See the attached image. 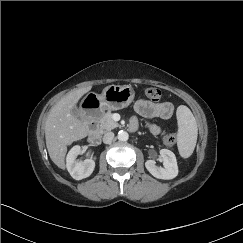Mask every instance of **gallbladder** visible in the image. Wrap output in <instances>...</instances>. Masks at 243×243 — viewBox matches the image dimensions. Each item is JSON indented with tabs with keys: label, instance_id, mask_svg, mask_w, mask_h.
<instances>
[{
	"label": "gallbladder",
	"instance_id": "obj_1",
	"mask_svg": "<svg viewBox=\"0 0 243 243\" xmlns=\"http://www.w3.org/2000/svg\"><path fill=\"white\" fill-rule=\"evenodd\" d=\"M72 114L76 117H79L80 115L79 109L76 107L72 108Z\"/></svg>",
	"mask_w": 243,
	"mask_h": 243
}]
</instances>
